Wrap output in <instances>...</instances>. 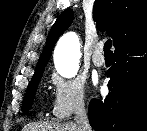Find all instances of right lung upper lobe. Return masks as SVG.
Listing matches in <instances>:
<instances>
[{
  "instance_id": "obj_1",
  "label": "right lung upper lobe",
  "mask_w": 147,
  "mask_h": 131,
  "mask_svg": "<svg viewBox=\"0 0 147 131\" xmlns=\"http://www.w3.org/2000/svg\"><path fill=\"white\" fill-rule=\"evenodd\" d=\"M72 19L70 9L58 16L34 74L44 71L57 39L69 27ZM93 19L100 31H106L111 36L116 48L147 31V0H95Z\"/></svg>"
}]
</instances>
